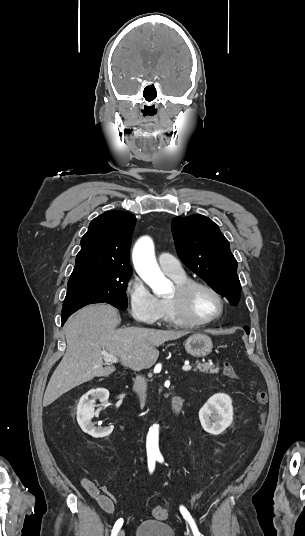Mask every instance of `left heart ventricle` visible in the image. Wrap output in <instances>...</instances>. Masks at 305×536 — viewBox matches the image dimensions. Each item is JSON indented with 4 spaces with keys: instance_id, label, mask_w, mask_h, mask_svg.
<instances>
[{
    "instance_id": "1",
    "label": "left heart ventricle",
    "mask_w": 305,
    "mask_h": 536,
    "mask_svg": "<svg viewBox=\"0 0 305 536\" xmlns=\"http://www.w3.org/2000/svg\"><path fill=\"white\" fill-rule=\"evenodd\" d=\"M174 290L169 295L171 296ZM168 296V297H169ZM221 301L211 291L199 288L190 296L187 303V311L191 320L205 321L219 314Z\"/></svg>"
}]
</instances>
